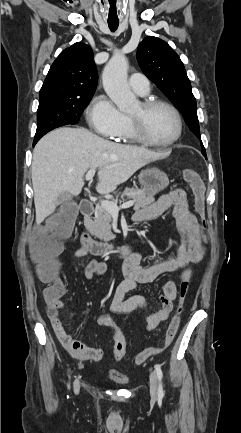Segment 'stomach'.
I'll return each instance as SVG.
<instances>
[{"label": "stomach", "instance_id": "1", "mask_svg": "<svg viewBox=\"0 0 241 433\" xmlns=\"http://www.w3.org/2000/svg\"><path fill=\"white\" fill-rule=\"evenodd\" d=\"M139 183L147 194L154 196L169 185V178L165 172L153 167L140 172Z\"/></svg>", "mask_w": 241, "mask_h": 433}]
</instances>
